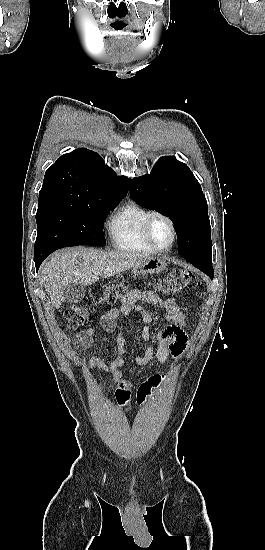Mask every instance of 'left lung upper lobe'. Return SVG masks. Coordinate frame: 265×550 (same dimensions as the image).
<instances>
[{
	"label": "left lung upper lobe",
	"instance_id": "1",
	"mask_svg": "<svg viewBox=\"0 0 265 550\" xmlns=\"http://www.w3.org/2000/svg\"><path fill=\"white\" fill-rule=\"evenodd\" d=\"M130 196L137 204L171 219L178 251L185 260L211 254L207 201L186 164L174 156L162 157L150 174L130 179Z\"/></svg>",
	"mask_w": 265,
	"mask_h": 550
}]
</instances>
